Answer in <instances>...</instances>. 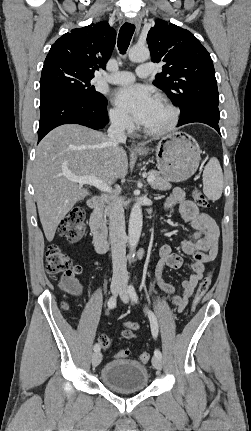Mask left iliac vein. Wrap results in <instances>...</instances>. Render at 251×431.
Wrapping results in <instances>:
<instances>
[{"label":"left iliac vein","instance_id":"obj_1","mask_svg":"<svg viewBox=\"0 0 251 431\" xmlns=\"http://www.w3.org/2000/svg\"><path fill=\"white\" fill-rule=\"evenodd\" d=\"M120 298L124 303H128L129 302V292H128V288L126 286H122L121 290L119 292ZM152 365L155 369L157 370H161L162 369V361L161 358H158L156 356H154L152 358Z\"/></svg>","mask_w":251,"mask_h":431}]
</instances>
